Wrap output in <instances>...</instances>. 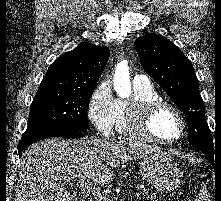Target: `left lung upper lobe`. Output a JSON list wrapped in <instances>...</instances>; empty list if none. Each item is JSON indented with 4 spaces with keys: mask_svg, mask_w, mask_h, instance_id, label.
<instances>
[{
    "mask_svg": "<svg viewBox=\"0 0 221 201\" xmlns=\"http://www.w3.org/2000/svg\"><path fill=\"white\" fill-rule=\"evenodd\" d=\"M135 48L144 70L184 112L190 144L201 151L214 153L204 102L191 61L174 43L161 35L138 38Z\"/></svg>",
    "mask_w": 221,
    "mask_h": 201,
    "instance_id": "1",
    "label": "left lung upper lobe"
}]
</instances>
